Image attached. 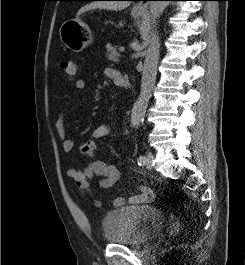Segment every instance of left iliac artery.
<instances>
[{
	"label": "left iliac artery",
	"mask_w": 245,
	"mask_h": 265,
	"mask_svg": "<svg viewBox=\"0 0 245 265\" xmlns=\"http://www.w3.org/2000/svg\"><path fill=\"white\" fill-rule=\"evenodd\" d=\"M138 165L142 166L145 163V156H139L137 159Z\"/></svg>",
	"instance_id": "left-iliac-artery-1"
}]
</instances>
